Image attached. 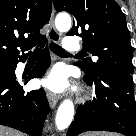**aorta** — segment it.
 Returning <instances> with one entry per match:
<instances>
[{
	"instance_id": "1",
	"label": "aorta",
	"mask_w": 136,
	"mask_h": 136,
	"mask_svg": "<svg viewBox=\"0 0 136 136\" xmlns=\"http://www.w3.org/2000/svg\"><path fill=\"white\" fill-rule=\"evenodd\" d=\"M58 31L65 32L71 28V17L67 13H59L55 19ZM74 116V105L70 99H66L59 106L56 114V126L58 130L66 129L72 122Z\"/></svg>"
}]
</instances>
